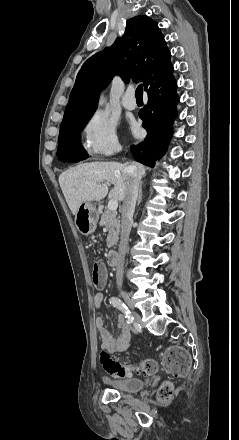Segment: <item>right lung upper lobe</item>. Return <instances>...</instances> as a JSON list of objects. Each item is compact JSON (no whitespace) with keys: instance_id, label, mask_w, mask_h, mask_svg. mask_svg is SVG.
Returning a JSON list of instances; mask_svg holds the SVG:
<instances>
[{"instance_id":"obj_1","label":"right lung upper lobe","mask_w":239,"mask_h":440,"mask_svg":"<svg viewBox=\"0 0 239 440\" xmlns=\"http://www.w3.org/2000/svg\"><path fill=\"white\" fill-rule=\"evenodd\" d=\"M171 53L157 22L146 15L127 20L126 30L110 48L94 54L79 70L62 123L93 113L96 98L118 74L146 85L171 66Z\"/></svg>"}]
</instances>
